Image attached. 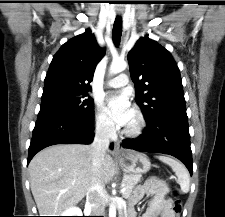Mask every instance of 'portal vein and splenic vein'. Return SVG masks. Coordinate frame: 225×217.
<instances>
[{"label":"portal vein and splenic vein","instance_id":"18ae733b","mask_svg":"<svg viewBox=\"0 0 225 217\" xmlns=\"http://www.w3.org/2000/svg\"><path fill=\"white\" fill-rule=\"evenodd\" d=\"M126 191V188L122 185L121 193H124Z\"/></svg>","mask_w":225,"mask_h":217}]
</instances>
